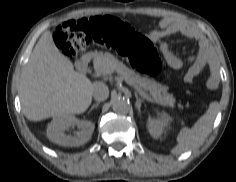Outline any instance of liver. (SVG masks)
Segmentation results:
<instances>
[{
  "label": "liver",
  "mask_w": 236,
  "mask_h": 182,
  "mask_svg": "<svg viewBox=\"0 0 236 182\" xmlns=\"http://www.w3.org/2000/svg\"><path fill=\"white\" fill-rule=\"evenodd\" d=\"M93 83L74 70L72 62L45 31L24 66L19 86L22 112L31 121L85 112L91 104Z\"/></svg>",
  "instance_id": "liver-1"
}]
</instances>
